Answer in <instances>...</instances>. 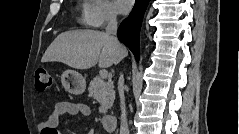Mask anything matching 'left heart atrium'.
<instances>
[{"mask_svg":"<svg viewBox=\"0 0 239 134\" xmlns=\"http://www.w3.org/2000/svg\"><path fill=\"white\" fill-rule=\"evenodd\" d=\"M115 4L120 13H127L132 8L131 0H117Z\"/></svg>","mask_w":239,"mask_h":134,"instance_id":"left-heart-atrium-1","label":"left heart atrium"}]
</instances>
